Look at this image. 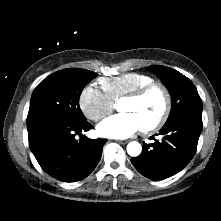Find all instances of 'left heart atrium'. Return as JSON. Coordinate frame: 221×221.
<instances>
[{"mask_svg":"<svg viewBox=\"0 0 221 221\" xmlns=\"http://www.w3.org/2000/svg\"><path fill=\"white\" fill-rule=\"evenodd\" d=\"M142 128L139 119L131 113L113 115L102 121L97 131L100 135L112 138H127Z\"/></svg>","mask_w":221,"mask_h":221,"instance_id":"obj_1","label":"left heart atrium"}]
</instances>
